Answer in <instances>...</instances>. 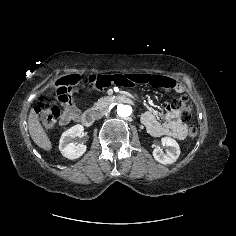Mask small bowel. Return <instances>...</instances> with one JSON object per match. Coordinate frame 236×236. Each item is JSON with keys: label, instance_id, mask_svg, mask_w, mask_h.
Segmentation results:
<instances>
[{"label": "small bowel", "instance_id": "1", "mask_svg": "<svg viewBox=\"0 0 236 236\" xmlns=\"http://www.w3.org/2000/svg\"><path fill=\"white\" fill-rule=\"evenodd\" d=\"M150 84L154 87L165 88L174 91H182V86L175 80L151 73H130L122 72L105 73L103 75H93L89 79V86L93 90H103L105 88H123L126 84ZM64 111L60 117V123L65 125L70 121L79 120L81 113L79 109L67 103L63 105ZM142 122L148 132L156 137L170 136L178 140H183L187 136V125L182 121L180 113L168 106L166 108L165 121H160L154 111H146L142 115Z\"/></svg>", "mask_w": 236, "mask_h": 236}]
</instances>
